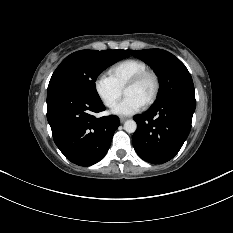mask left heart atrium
Wrapping results in <instances>:
<instances>
[{"label":"left heart atrium","mask_w":233,"mask_h":233,"mask_svg":"<svg viewBox=\"0 0 233 233\" xmlns=\"http://www.w3.org/2000/svg\"><path fill=\"white\" fill-rule=\"evenodd\" d=\"M144 103L133 96H125L113 109V113L120 116H130L139 112Z\"/></svg>","instance_id":"left-heart-atrium-1"}]
</instances>
